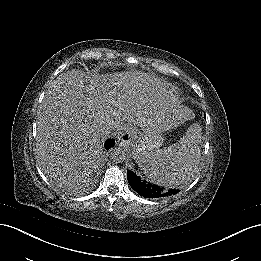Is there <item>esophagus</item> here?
<instances>
[{"mask_svg": "<svg viewBox=\"0 0 261 261\" xmlns=\"http://www.w3.org/2000/svg\"><path fill=\"white\" fill-rule=\"evenodd\" d=\"M133 136V130L131 127H125L119 134V141H121V146H128L131 142Z\"/></svg>", "mask_w": 261, "mask_h": 261, "instance_id": "obj_1", "label": "esophagus"}]
</instances>
